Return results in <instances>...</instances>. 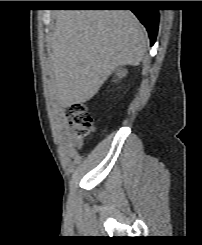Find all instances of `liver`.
Segmentation results:
<instances>
[{"label":"liver","instance_id":"6515ba94","mask_svg":"<svg viewBox=\"0 0 202 245\" xmlns=\"http://www.w3.org/2000/svg\"><path fill=\"white\" fill-rule=\"evenodd\" d=\"M49 42L52 89L70 107L93 98L117 67L138 65L148 36L129 10H61Z\"/></svg>","mask_w":202,"mask_h":245}]
</instances>
